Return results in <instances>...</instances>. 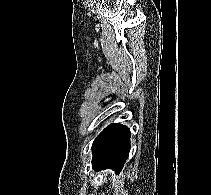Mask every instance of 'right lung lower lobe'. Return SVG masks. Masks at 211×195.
I'll return each mask as SVG.
<instances>
[{"label":"right lung lower lobe","instance_id":"right-lung-lower-lobe-1","mask_svg":"<svg viewBox=\"0 0 211 195\" xmlns=\"http://www.w3.org/2000/svg\"><path fill=\"white\" fill-rule=\"evenodd\" d=\"M130 151V130L119 123L105 128L92 145V166L95 169L110 168L119 173Z\"/></svg>","mask_w":211,"mask_h":195}]
</instances>
